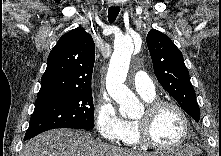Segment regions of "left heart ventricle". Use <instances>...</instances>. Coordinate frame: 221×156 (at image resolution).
I'll return each mask as SVG.
<instances>
[{"mask_svg": "<svg viewBox=\"0 0 221 156\" xmlns=\"http://www.w3.org/2000/svg\"><path fill=\"white\" fill-rule=\"evenodd\" d=\"M145 112L138 118L141 119ZM151 136L154 141L162 145H174L184 133V123L178 112L172 108L162 109L151 125Z\"/></svg>", "mask_w": 221, "mask_h": 156, "instance_id": "1", "label": "left heart ventricle"}]
</instances>
